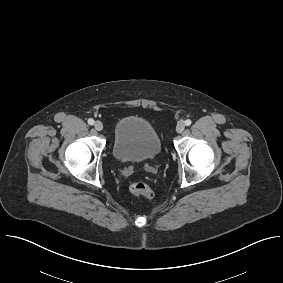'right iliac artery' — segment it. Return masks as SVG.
Returning <instances> with one entry per match:
<instances>
[{
    "label": "right iliac artery",
    "mask_w": 283,
    "mask_h": 283,
    "mask_svg": "<svg viewBox=\"0 0 283 283\" xmlns=\"http://www.w3.org/2000/svg\"><path fill=\"white\" fill-rule=\"evenodd\" d=\"M88 124L93 125L94 124V120L92 118L88 119Z\"/></svg>",
    "instance_id": "82829eb1"
}]
</instances>
